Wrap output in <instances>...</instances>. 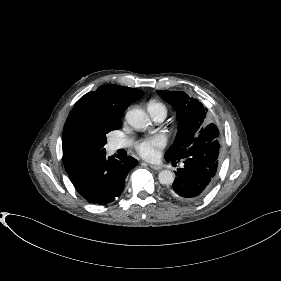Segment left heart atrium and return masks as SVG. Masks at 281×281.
Wrapping results in <instances>:
<instances>
[{
  "label": "left heart atrium",
  "instance_id": "1",
  "mask_svg": "<svg viewBox=\"0 0 281 281\" xmlns=\"http://www.w3.org/2000/svg\"><path fill=\"white\" fill-rule=\"evenodd\" d=\"M162 137L156 136L142 140L137 145V151L146 159H154L157 156L158 149L164 146Z\"/></svg>",
  "mask_w": 281,
  "mask_h": 281
}]
</instances>
